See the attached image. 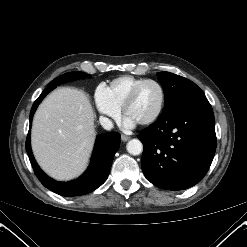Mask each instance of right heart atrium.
<instances>
[{
  "mask_svg": "<svg viewBox=\"0 0 247 247\" xmlns=\"http://www.w3.org/2000/svg\"><path fill=\"white\" fill-rule=\"evenodd\" d=\"M95 103L98 111L109 119H118L120 108L110 99L106 87L99 86L95 91Z\"/></svg>",
  "mask_w": 247,
  "mask_h": 247,
  "instance_id": "1",
  "label": "right heart atrium"
}]
</instances>
